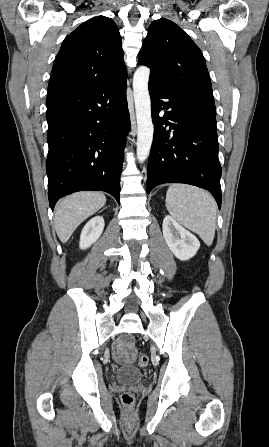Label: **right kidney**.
Masks as SVG:
<instances>
[{
    "instance_id": "ca27d5eb",
    "label": "right kidney",
    "mask_w": 269,
    "mask_h": 447,
    "mask_svg": "<svg viewBox=\"0 0 269 447\" xmlns=\"http://www.w3.org/2000/svg\"><path fill=\"white\" fill-rule=\"evenodd\" d=\"M104 225L102 216H95V218L89 220L81 231L79 241L80 249H86V247H90L91 243L97 241L104 229Z\"/></svg>"
}]
</instances>
